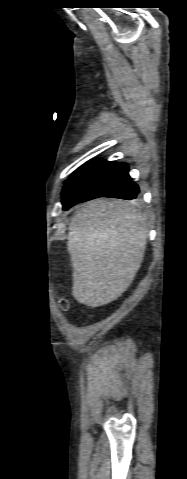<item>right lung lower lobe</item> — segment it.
I'll return each mask as SVG.
<instances>
[{
  "mask_svg": "<svg viewBox=\"0 0 187 479\" xmlns=\"http://www.w3.org/2000/svg\"><path fill=\"white\" fill-rule=\"evenodd\" d=\"M128 171V165L124 162L100 161L63 194V210L98 197L135 199L139 187L132 181Z\"/></svg>",
  "mask_w": 187,
  "mask_h": 479,
  "instance_id": "right-lung-lower-lobe-1",
  "label": "right lung lower lobe"
}]
</instances>
